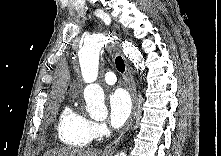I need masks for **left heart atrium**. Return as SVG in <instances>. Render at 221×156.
I'll list each match as a JSON object with an SVG mask.
<instances>
[{
	"label": "left heart atrium",
	"mask_w": 221,
	"mask_h": 156,
	"mask_svg": "<svg viewBox=\"0 0 221 156\" xmlns=\"http://www.w3.org/2000/svg\"><path fill=\"white\" fill-rule=\"evenodd\" d=\"M109 121L113 128L121 127L129 118L132 101L128 92L122 88L115 89L109 96Z\"/></svg>",
	"instance_id": "left-heart-atrium-1"
}]
</instances>
